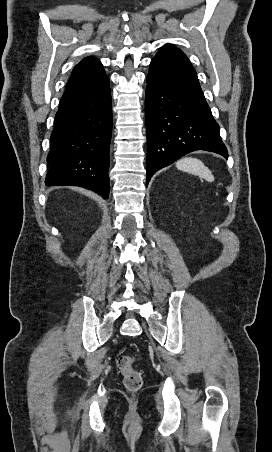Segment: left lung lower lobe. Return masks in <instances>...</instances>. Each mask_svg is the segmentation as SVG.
<instances>
[{
    "instance_id": "obj_1",
    "label": "left lung lower lobe",
    "mask_w": 272,
    "mask_h": 452,
    "mask_svg": "<svg viewBox=\"0 0 272 452\" xmlns=\"http://www.w3.org/2000/svg\"><path fill=\"white\" fill-rule=\"evenodd\" d=\"M145 116L147 185L158 170L189 152L206 150L228 158L197 74L172 44L162 46L151 61Z\"/></svg>"
}]
</instances>
